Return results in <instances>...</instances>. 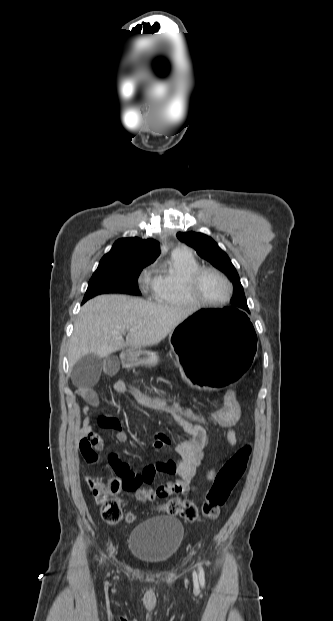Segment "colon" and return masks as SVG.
Instances as JSON below:
<instances>
[{"instance_id": "1", "label": "colon", "mask_w": 333, "mask_h": 621, "mask_svg": "<svg viewBox=\"0 0 333 621\" xmlns=\"http://www.w3.org/2000/svg\"><path fill=\"white\" fill-rule=\"evenodd\" d=\"M117 382L124 394L130 396L136 404L150 411L166 415L178 423H208L226 428L233 425L240 416V406L234 388L227 390L223 404L219 408L204 413L166 395L143 391L128 381L119 380ZM250 455L251 446L244 445L220 468L201 507V513L204 517L208 519L218 518L233 489L244 475ZM114 471L116 475L106 481L96 476L86 477L94 499L100 505L101 517L109 524H117L124 517L120 500L116 498V495L121 490L133 491L137 486V477L132 471L124 467L116 468ZM161 510L169 515H179L191 523L200 520L197 506L189 500L172 498L161 507ZM125 519L131 522L134 516L128 513Z\"/></svg>"}]
</instances>
